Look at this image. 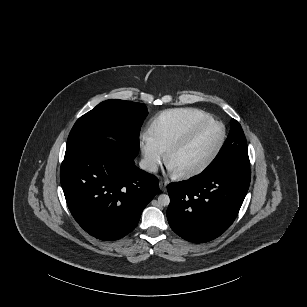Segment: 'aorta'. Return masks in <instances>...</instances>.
<instances>
[{
  "mask_svg": "<svg viewBox=\"0 0 307 307\" xmlns=\"http://www.w3.org/2000/svg\"><path fill=\"white\" fill-rule=\"evenodd\" d=\"M170 203V198L166 194H161L158 197V204L161 206H168Z\"/></svg>",
  "mask_w": 307,
  "mask_h": 307,
  "instance_id": "1",
  "label": "aorta"
}]
</instances>
